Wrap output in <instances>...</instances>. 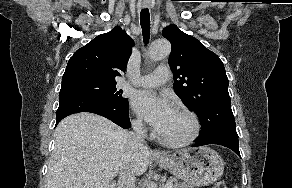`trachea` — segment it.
Segmentation results:
<instances>
[{
  "label": "trachea",
  "instance_id": "3493384b",
  "mask_svg": "<svg viewBox=\"0 0 292 188\" xmlns=\"http://www.w3.org/2000/svg\"><path fill=\"white\" fill-rule=\"evenodd\" d=\"M140 24L143 32L144 43L147 44L150 37V14L147 8L141 10Z\"/></svg>",
  "mask_w": 292,
  "mask_h": 188
}]
</instances>
